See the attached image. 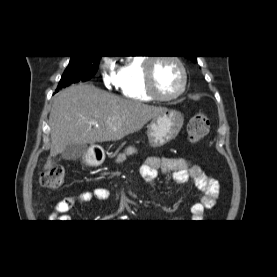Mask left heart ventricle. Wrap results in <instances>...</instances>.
<instances>
[{"instance_id": "left-heart-ventricle-1", "label": "left heart ventricle", "mask_w": 277, "mask_h": 277, "mask_svg": "<svg viewBox=\"0 0 277 277\" xmlns=\"http://www.w3.org/2000/svg\"><path fill=\"white\" fill-rule=\"evenodd\" d=\"M157 91L164 96L175 94L181 87V72L177 64L169 59H159L153 65Z\"/></svg>"}]
</instances>
